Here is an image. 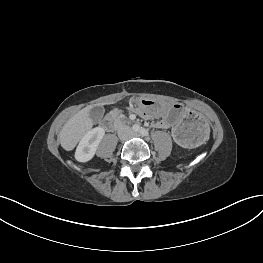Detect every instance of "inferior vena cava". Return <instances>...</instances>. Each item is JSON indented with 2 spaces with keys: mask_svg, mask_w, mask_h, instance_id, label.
I'll use <instances>...</instances> for the list:
<instances>
[{
  "mask_svg": "<svg viewBox=\"0 0 263 263\" xmlns=\"http://www.w3.org/2000/svg\"><path fill=\"white\" fill-rule=\"evenodd\" d=\"M133 131L129 126L123 125L118 129V136L120 139H128L132 137Z\"/></svg>",
  "mask_w": 263,
  "mask_h": 263,
  "instance_id": "602c4592",
  "label": "inferior vena cava"
}]
</instances>
